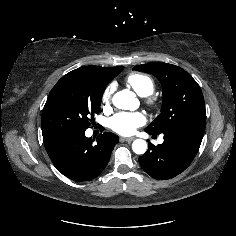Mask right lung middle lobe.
<instances>
[{"instance_id": "obj_1", "label": "right lung middle lobe", "mask_w": 236, "mask_h": 236, "mask_svg": "<svg viewBox=\"0 0 236 236\" xmlns=\"http://www.w3.org/2000/svg\"><path fill=\"white\" fill-rule=\"evenodd\" d=\"M123 68L107 70L94 66L89 72L73 70L64 75L52 88L42 111L43 139L84 132L100 111L106 85Z\"/></svg>"}]
</instances>
